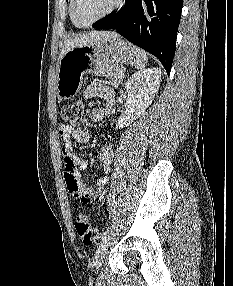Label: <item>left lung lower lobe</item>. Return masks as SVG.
Segmentation results:
<instances>
[{
  "label": "left lung lower lobe",
  "instance_id": "left-lung-lower-lobe-1",
  "mask_svg": "<svg viewBox=\"0 0 233 286\" xmlns=\"http://www.w3.org/2000/svg\"><path fill=\"white\" fill-rule=\"evenodd\" d=\"M183 0H125L122 8L95 22L96 29L116 30L156 56L170 74Z\"/></svg>",
  "mask_w": 233,
  "mask_h": 286
}]
</instances>
